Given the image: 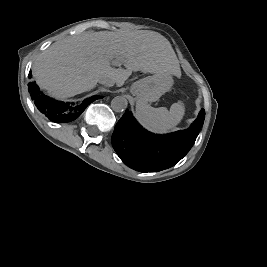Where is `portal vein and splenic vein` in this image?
<instances>
[{
	"mask_svg": "<svg viewBox=\"0 0 267 267\" xmlns=\"http://www.w3.org/2000/svg\"><path fill=\"white\" fill-rule=\"evenodd\" d=\"M118 60H121V58L115 59L112 61V65L117 66L119 65Z\"/></svg>",
	"mask_w": 267,
	"mask_h": 267,
	"instance_id": "portal-vein-and-splenic-vein-1",
	"label": "portal vein and splenic vein"
}]
</instances>
